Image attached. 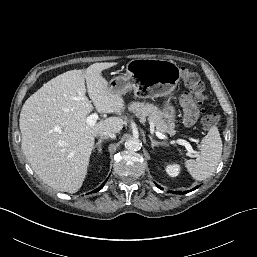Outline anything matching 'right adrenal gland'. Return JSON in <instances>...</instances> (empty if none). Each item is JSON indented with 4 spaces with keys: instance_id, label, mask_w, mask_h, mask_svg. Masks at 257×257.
I'll return each instance as SVG.
<instances>
[{
    "instance_id": "right-adrenal-gland-1",
    "label": "right adrenal gland",
    "mask_w": 257,
    "mask_h": 257,
    "mask_svg": "<svg viewBox=\"0 0 257 257\" xmlns=\"http://www.w3.org/2000/svg\"><path fill=\"white\" fill-rule=\"evenodd\" d=\"M107 139L106 137H102L98 140V142L95 144L94 148H93V151L95 152L96 151V148L98 150V153H101L102 151V142Z\"/></svg>"
}]
</instances>
